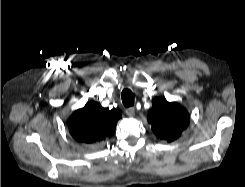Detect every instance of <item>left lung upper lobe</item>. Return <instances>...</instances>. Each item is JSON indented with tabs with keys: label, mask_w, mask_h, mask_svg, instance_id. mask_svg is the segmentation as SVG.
<instances>
[{
	"label": "left lung upper lobe",
	"mask_w": 245,
	"mask_h": 187,
	"mask_svg": "<svg viewBox=\"0 0 245 187\" xmlns=\"http://www.w3.org/2000/svg\"><path fill=\"white\" fill-rule=\"evenodd\" d=\"M190 116L177 102L165 98H155L148 113V122L159 139L172 142L176 140L189 124Z\"/></svg>",
	"instance_id": "1"
}]
</instances>
